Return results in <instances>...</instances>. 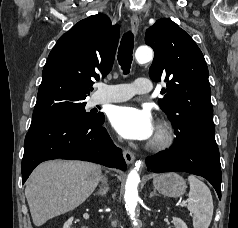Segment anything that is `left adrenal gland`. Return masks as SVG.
Masks as SVG:
<instances>
[{
	"label": "left adrenal gland",
	"mask_w": 238,
	"mask_h": 228,
	"mask_svg": "<svg viewBox=\"0 0 238 228\" xmlns=\"http://www.w3.org/2000/svg\"><path fill=\"white\" fill-rule=\"evenodd\" d=\"M155 195H158V194L156 193V190L154 189V190L150 193L149 198H152V197L155 196Z\"/></svg>",
	"instance_id": "a2214340"
}]
</instances>
